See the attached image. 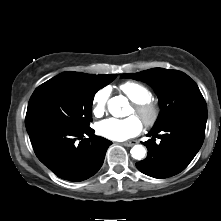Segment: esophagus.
Listing matches in <instances>:
<instances>
[{
  "instance_id": "34e87169",
  "label": "esophagus",
  "mask_w": 221,
  "mask_h": 221,
  "mask_svg": "<svg viewBox=\"0 0 221 221\" xmlns=\"http://www.w3.org/2000/svg\"><path fill=\"white\" fill-rule=\"evenodd\" d=\"M134 144H135V143H134V142H131V141L122 143V145H124V146H126V147H131V146H133Z\"/></svg>"
}]
</instances>
